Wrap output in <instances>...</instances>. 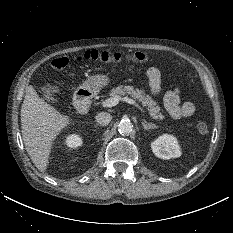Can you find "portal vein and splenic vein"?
Wrapping results in <instances>:
<instances>
[{
    "instance_id": "1",
    "label": "portal vein and splenic vein",
    "mask_w": 233,
    "mask_h": 233,
    "mask_svg": "<svg viewBox=\"0 0 233 233\" xmlns=\"http://www.w3.org/2000/svg\"><path fill=\"white\" fill-rule=\"evenodd\" d=\"M120 100L126 101L127 103L137 107L140 111L145 112L144 109L138 103L135 102V100L130 99L128 97H124V98L113 97V98L106 99L102 102V106L103 107H113V106H116Z\"/></svg>"
}]
</instances>
